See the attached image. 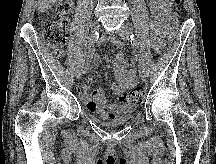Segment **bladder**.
Returning a JSON list of instances; mask_svg holds the SVG:
<instances>
[{"label": "bladder", "mask_w": 216, "mask_h": 164, "mask_svg": "<svg viewBox=\"0 0 216 164\" xmlns=\"http://www.w3.org/2000/svg\"><path fill=\"white\" fill-rule=\"evenodd\" d=\"M133 116H134V110H128V113H126V114H124L121 117L116 118V119H112L109 121L94 119V121H95V123L102 125V126L116 127V126L123 125V124L127 123L128 121L131 120V118Z\"/></svg>", "instance_id": "bladder-1"}]
</instances>
